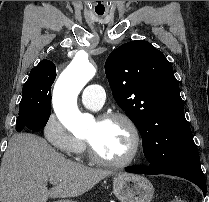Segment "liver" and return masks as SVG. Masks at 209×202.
<instances>
[{
    "label": "liver",
    "mask_w": 209,
    "mask_h": 202,
    "mask_svg": "<svg viewBox=\"0 0 209 202\" xmlns=\"http://www.w3.org/2000/svg\"><path fill=\"white\" fill-rule=\"evenodd\" d=\"M111 171L93 169L66 159L43 138L14 134L0 167V202H46L48 198L77 197ZM58 182L51 189L47 183Z\"/></svg>",
    "instance_id": "1"
}]
</instances>
